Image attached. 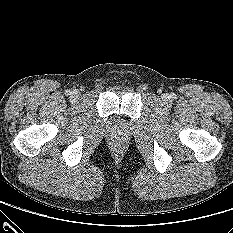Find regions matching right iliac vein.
I'll return each mask as SVG.
<instances>
[{"label": "right iliac vein", "instance_id": "1", "mask_svg": "<svg viewBox=\"0 0 233 233\" xmlns=\"http://www.w3.org/2000/svg\"><path fill=\"white\" fill-rule=\"evenodd\" d=\"M79 95H80V92L78 90H73L72 91V96L73 97L77 98V97H79Z\"/></svg>", "mask_w": 233, "mask_h": 233}]
</instances>
